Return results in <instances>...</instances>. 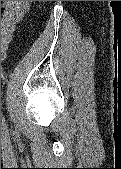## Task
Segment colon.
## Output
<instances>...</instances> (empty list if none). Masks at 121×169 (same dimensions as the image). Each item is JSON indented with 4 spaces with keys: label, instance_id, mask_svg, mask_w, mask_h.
I'll use <instances>...</instances> for the list:
<instances>
[{
    "label": "colon",
    "instance_id": "5ec220e1",
    "mask_svg": "<svg viewBox=\"0 0 121 169\" xmlns=\"http://www.w3.org/2000/svg\"><path fill=\"white\" fill-rule=\"evenodd\" d=\"M29 4L30 1H3L1 7V49L3 53L6 51L18 24L27 13Z\"/></svg>",
    "mask_w": 121,
    "mask_h": 169
}]
</instances>
